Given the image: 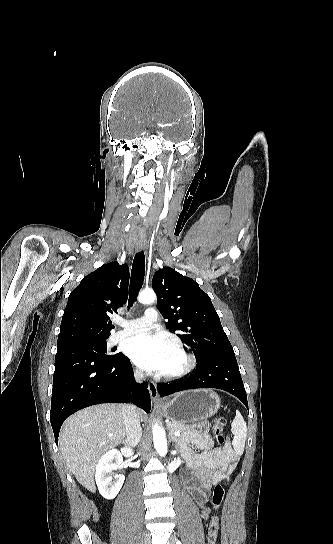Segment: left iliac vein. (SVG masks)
<instances>
[{"label":"left iliac vein","mask_w":333,"mask_h":544,"mask_svg":"<svg viewBox=\"0 0 333 544\" xmlns=\"http://www.w3.org/2000/svg\"><path fill=\"white\" fill-rule=\"evenodd\" d=\"M168 544H177L176 543V538L172 535L168 541Z\"/></svg>","instance_id":"4c4485c4"}]
</instances>
